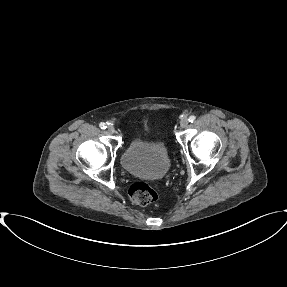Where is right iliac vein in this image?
I'll use <instances>...</instances> for the list:
<instances>
[{
	"instance_id": "right-iliac-vein-1",
	"label": "right iliac vein",
	"mask_w": 287,
	"mask_h": 287,
	"mask_svg": "<svg viewBox=\"0 0 287 287\" xmlns=\"http://www.w3.org/2000/svg\"><path fill=\"white\" fill-rule=\"evenodd\" d=\"M107 132L110 134H113V133H115V128L112 125H109L107 127Z\"/></svg>"
}]
</instances>
